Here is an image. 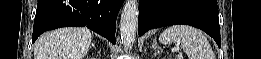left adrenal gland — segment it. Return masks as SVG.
Returning a JSON list of instances; mask_svg holds the SVG:
<instances>
[{
	"label": "left adrenal gland",
	"mask_w": 261,
	"mask_h": 59,
	"mask_svg": "<svg viewBox=\"0 0 261 59\" xmlns=\"http://www.w3.org/2000/svg\"><path fill=\"white\" fill-rule=\"evenodd\" d=\"M151 48H153V49H160L161 50V47L157 44L156 40H153V45L151 46Z\"/></svg>",
	"instance_id": "1"
}]
</instances>
